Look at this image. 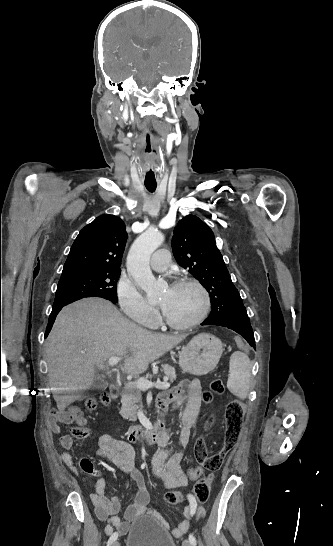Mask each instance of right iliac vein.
Instances as JSON below:
<instances>
[{"label": "right iliac vein", "instance_id": "63e3f726", "mask_svg": "<svg viewBox=\"0 0 333 546\" xmlns=\"http://www.w3.org/2000/svg\"><path fill=\"white\" fill-rule=\"evenodd\" d=\"M112 546H120V543L118 541H115L112 543Z\"/></svg>", "mask_w": 333, "mask_h": 546}]
</instances>
